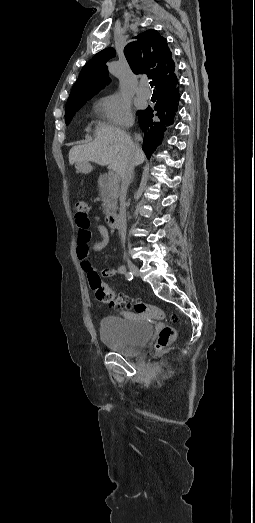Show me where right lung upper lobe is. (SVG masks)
<instances>
[{"mask_svg":"<svg viewBox=\"0 0 255 523\" xmlns=\"http://www.w3.org/2000/svg\"><path fill=\"white\" fill-rule=\"evenodd\" d=\"M136 38V41L124 48L125 57L135 74H150L157 93L155 105L137 112L139 126L144 133L142 148L150 158L177 114L179 82L166 39L155 30H147ZM114 56L113 48H106L94 55L82 68L67 103L87 102L103 89L110 80L106 62Z\"/></svg>","mask_w":255,"mask_h":523,"instance_id":"obj_1","label":"right lung upper lobe"}]
</instances>
